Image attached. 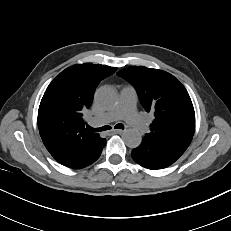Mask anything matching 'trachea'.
Returning a JSON list of instances; mask_svg holds the SVG:
<instances>
[{"label": "trachea", "instance_id": "trachea-1", "mask_svg": "<svg viewBox=\"0 0 231 231\" xmlns=\"http://www.w3.org/2000/svg\"><path fill=\"white\" fill-rule=\"evenodd\" d=\"M115 129H124V125L119 123L117 125H115L114 127ZM89 130H92L94 132H102V131H106V130H110L111 127L110 126H103V127H100V128H92V127H88Z\"/></svg>", "mask_w": 231, "mask_h": 231}]
</instances>
